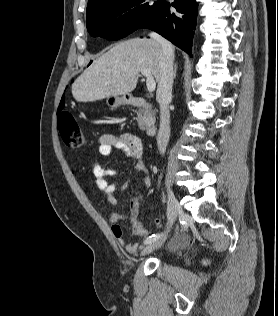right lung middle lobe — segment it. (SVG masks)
<instances>
[{"label":"right lung middle lobe","instance_id":"dd1d6c3e","mask_svg":"<svg viewBox=\"0 0 278 316\" xmlns=\"http://www.w3.org/2000/svg\"><path fill=\"white\" fill-rule=\"evenodd\" d=\"M159 1L110 0L87 12L86 26L92 36L121 39L137 30L153 14Z\"/></svg>","mask_w":278,"mask_h":316}]
</instances>
